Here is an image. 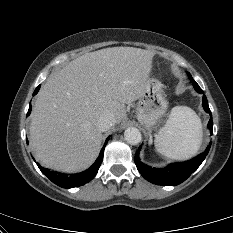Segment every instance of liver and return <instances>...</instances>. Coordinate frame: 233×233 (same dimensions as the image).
<instances>
[{
  "label": "liver",
  "instance_id": "6515ba94",
  "mask_svg": "<svg viewBox=\"0 0 233 233\" xmlns=\"http://www.w3.org/2000/svg\"><path fill=\"white\" fill-rule=\"evenodd\" d=\"M154 53L133 47L84 54L54 72L40 89L31 114L30 145L43 166L79 172L93 164L102 142L104 113L120 123L125 104L144 93Z\"/></svg>",
  "mask_w": 233,
  "mask_h": 233
}]
</instances>
